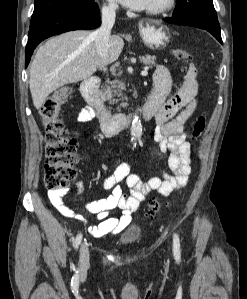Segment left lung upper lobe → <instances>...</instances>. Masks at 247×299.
Returning <instances> with one entry per match:
<instances>
[{"mask_svg": "<svg viewBox=\"0 0 247 299\" xmlns=\"http://www.w3.org/2000/svg\"><path fill=\"white\" fill-rule=\"evenodd\" d=\"M193 10H198L217 17L212 0H177L172 16Z\"/></svg>", "mask_w": 247, "mask_h": 299, "instance_id": "obj_1", "label": "left lung upper lobe"}]
</instances>
